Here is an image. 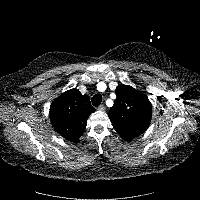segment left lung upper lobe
<instances>
[{
	"label": "left lung upper lobe",
	"instance_id": "1",
	"mask_svg": "<svg viewBox=\"0 0 200 200\" xmlns=\"http://www.w3.org/2000/svg\"><path fill=\"white\" fill-rule=\"evenodd\" d=\"M116 96L108 116L122 139L130 141L149 127L151 103L145 95L127 85H119Z\"/></svg>",
	"mask_w": 200,
	"mask_h": 200
}]
</instances>
